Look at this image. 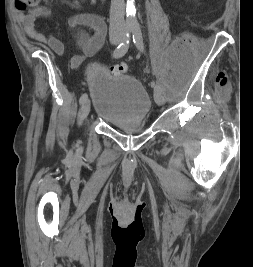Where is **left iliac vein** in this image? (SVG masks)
<instances>
[{"mask_svg":"<svg viewBox=\"0 0 253 267\" xmlns=\"http://www.w3.org/2000/svg\"><path fill=\"white\" fill-rule=\"evenodd\" d=\"M154 100L157 105H162L165 102V98L162 92L160 91H155L154 92Z\"/></svg>","mask_w":253,"mask_h":267,"instance_id":"1","label":"left iliac vein"}]
</instances>
